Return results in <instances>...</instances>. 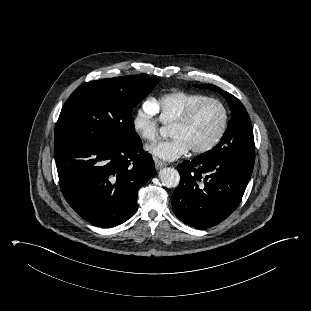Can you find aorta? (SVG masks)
I'll use <instances>...</instances> for the list:
<instances>
[{"mask_svg":"<svg viewBox=\"0 0 311 311\" xmlns=\"http://www.w3.org/2000/svg\"><path fill=\"white\" fill-rule=\"evenodd\" d=\"M159 133L161 136H166L167 129L165 127H161L159 129ZM159 179L165 187L175 188L179 185L180 175L176 169L166 167L159 171Z\"/></svg>","mask_w":311,"mask_h":311,"instance_id":"762f6f07","label":"aorta"}]
</instances>
